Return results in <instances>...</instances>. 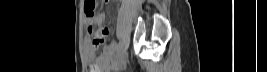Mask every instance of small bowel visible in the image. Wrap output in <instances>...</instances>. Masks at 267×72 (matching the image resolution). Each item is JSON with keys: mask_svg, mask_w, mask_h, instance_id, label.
I'll list each match as a JSON object with an SVG mask.
<instances>
[{"mask_svg": "<svg viewBox=\"0 0 267 72\" xmlns=\"http://www.w3.org/2000/svg\"><path fill=\"white\" fill-rule=\"evenodd\" d=\"M103 17L102 15H98L93 19H86L87 25L97 24L100 25L102 23ZM107 33V30H104ZM111 47H106L105 52L100 56L96 57L94 51V45L90 40H87L85 43V57L87 62L91 67V72H106L111 63Z\"/></svg>", "mask_w": 267, "mask_h": 72, "instance_id": "obj_1", "label": "small bowel"}]
</instances>
